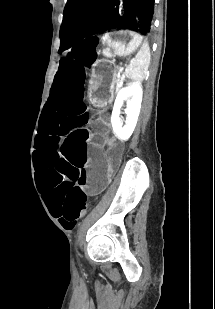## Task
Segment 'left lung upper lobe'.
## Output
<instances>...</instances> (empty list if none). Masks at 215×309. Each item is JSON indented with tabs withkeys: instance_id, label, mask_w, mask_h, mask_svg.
Instances as JSON below:
<instances>
[{
	"instance_id": "obj_1",
	"label": "left lung upper lobe",
	"mask_w": 215,
	"mask_h": 309,
	"mask_svg": "<svg viewBox=\"0 0 215 309\" xmlns=\"http://www.w3.org/2000/svg\"><path fill=\"white\" fill-rule=\"evenodd\" d=\"M153 13L154 0H67L59 52L114 28L146 35L151 30Z\"/></svg>"
}]
</instances>
